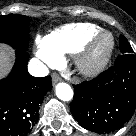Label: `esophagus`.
<instances>
[{
    "mask_svg": "<svg viewBox=\"0 0 136 136\" xmlns=\"http://www.w3.org/2000/svg\"><path fill=\"white\" fill-rule=\"evenodd\" d=\"M61 80L60 76L56 73L52 74V83L56 84L57 82H59Z\"/></svg>",
    "mask_w": 136,
    "mask_h": 136,
    "instance_id": "1",
    "label": "esophagus"
}]
</instances>
